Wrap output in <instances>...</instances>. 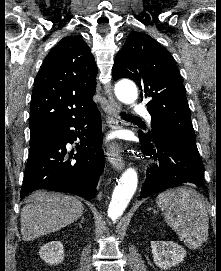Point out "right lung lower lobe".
Returning a JSON list of instances; mask_svg holds the SVG:
<instances>
[{
  "label": "right lung lower lobe",
  "mask_w": 221,
  "mask_h": 271,
  "mask_svg": "<svg viewBox=\"0 0 221 271\" xmlns=\"http://www.w3.org/2000/svg\"><path fill=\"white\" fill-rule=\"evenodd\" d=\"M77 137L80 139L77 153L68 154L66 144L73 143ZM103 169L101 116L95 108L30 144L20 197L38 189H48L92 199Z\"/></svg>",
  "instance_id": "right-lung-lower-lobe-1"
}]
</instances>
